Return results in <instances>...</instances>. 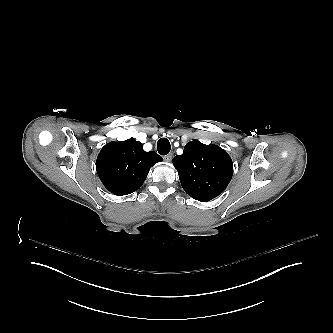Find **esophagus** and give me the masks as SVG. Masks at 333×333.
<instances>
[{
	"label": "esophagus",
	"instance_id": "obj_1",
	"mask_svg": "<svg viewBox=\"0 0 333 333\" xmlns=\"http://www.w3.org/2000/svg\"><path fill=\"white\" fill-rule=\"evenodd\" d=\"M172 156H173V154H172V153H170V154H168V155L164 156V160H165L166 162H169V161H171V159H172Z\"/></svg>",
	"mask_w": 333,
	"mask_h": 333
}]
</instances>
